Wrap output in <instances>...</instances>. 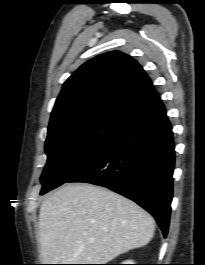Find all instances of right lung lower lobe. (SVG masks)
Wrapping results in <instances>:
<instances>
[{"instance_id":"right-lung-lower-lobe-1","label":"right lung lower lobe","mask_w":205,"mask_h":265,"mask_svg":"<svg viewBox=\"0 0 205 265\" xmlns=\"http://www.w3.org/2000/svg\"><path fill=\"white\" fill-rule=\"evenodd\" d=\"M174 164L172 127L159 99L125 123L109 144L66 182L100 185L135 201L155 217L166 237Z\"/></svg>"}]
</instances>
